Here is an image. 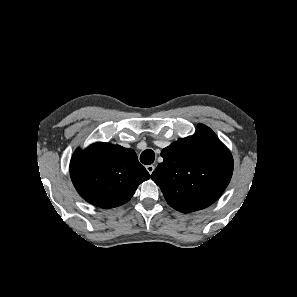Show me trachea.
Returning a JSON list of instances; mask_svg holds the SVG:
<instances>
[{
    "mask_svg": "<svg viewBox=\"0 0 297 297\" xmlns=\"http://www.w3.org/2000/svg\"><path fill=\"white\" fill-rule=\"evenodd\" d=\"M154 160H155V153L151 149L144 150L140 155V161L144 165H150L154 162Z\"/></svg>",
    "mask_w": 297,
    "mask_h": 297,
    "instance_id": "obj_1",
    "label": "trachea"
}]
</instances>
